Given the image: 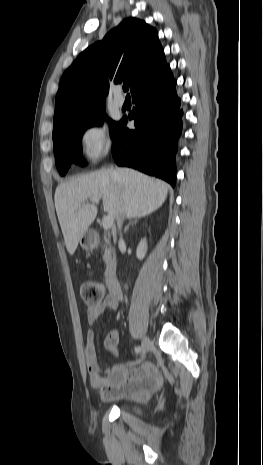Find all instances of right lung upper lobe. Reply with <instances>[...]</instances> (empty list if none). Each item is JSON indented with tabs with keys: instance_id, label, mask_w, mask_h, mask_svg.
Instances as JSON below:
<instances>
[{
	"instance_id": "obj_1",
	"label": "right lung upper lobe",
	"mask_w": 263,
	"mask_h": 465,
	"mask_svg": "<svg viewBox=\"0 0 263 465\" xmlns=\"http://www.w3.org/2000/svg\"><path fill=\"white\" fill-rule=\"evenodd\" d=\"M167 66L156 29L140 19H124L65 71L55 99L54 123L73 111L104 104L111 81L129 83L132 93Z\"/></svg>"
}]
</instances>
